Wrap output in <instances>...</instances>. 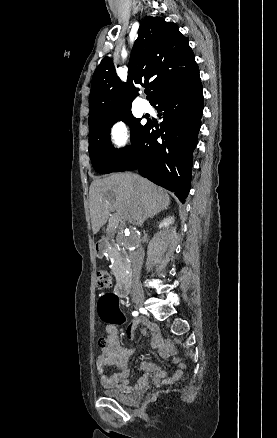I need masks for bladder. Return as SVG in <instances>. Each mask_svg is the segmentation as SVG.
<instances>
[{
	"instance_id": "obj_1",
	"label": "bladder",
	"mask_w": 277,
	"mask_h": 438,
	"mask_svg": "<svg viewBox=\"0 0 277 438\" xmlns=\"http://www.w3.org/2000/svg\"><path fill=\"white\" fill-rule=\"evenodd\" d=\"M101 394L104 395L106 398L112 401H116L120 404H130L134 398V394L132 392L127 393L122 391L121 389L112 387L102 389Z\"/></svg>"
}]
</instances>
